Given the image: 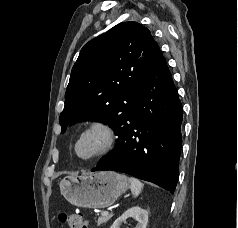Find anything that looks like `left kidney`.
<instances>
[{
  "label": "left kidney",
  "mask_w": 238,
  "mask_h": 228,
  "mask_svg": "<svg viewBox=\"0 0 238 228\" xmlns=\"http://www.w3.org/2000/svg\"><path fill=\"white\" fill-rule=\"evenodd\" d=\"M128 218H134L138 222L135 228H146L148 212L140 207H132L118 217L110 228H120L121 224Z\"/></svg>",
  "instance_id": "5707ae66"
}]
</instances>
